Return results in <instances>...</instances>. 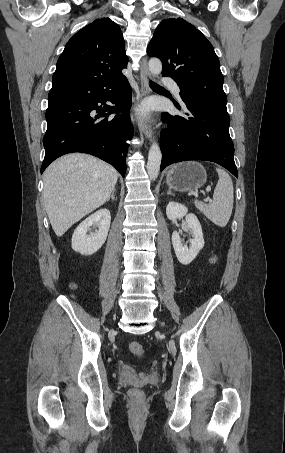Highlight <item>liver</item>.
I'll list each match as a JSON object with an SVG mask.
<instances>
[{"instance_id":"obj_1","label":"liver","mask_w":285,"mask_h":453,"mask_svg":"<svg viewBox=\"0 0 285 453\" xmlns=\"http://www.w3.org/2000/svg\"><path fill=\"white\" fill-rule=\"evenodd\" d=\"M44 205L58 237L110 197L118 180L111 165L87 154H68L44 172Z\"/></svg>"}]
</instances>
